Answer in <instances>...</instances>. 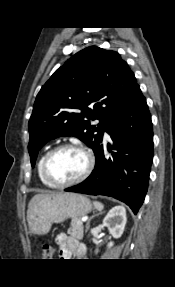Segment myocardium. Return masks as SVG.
Wrapping results in <instances>:
<instances>
[{"mask_svg":"<svg viewBox=\"0 0 175 287\" xmlns=\"http://www.w3.org/2000/svg\"><path fill=\"white\" fill-rule=\"evenodd\" d=\"M66 148H72V149H76L81 151L87 159V165L85 170L82 172L81 175H79L77 178L67 181V182H55L49 175V171H48V165L49 162L51 160V158L54 156L55 153H57L58 151L62 150V149H66ZM95 166V158L93 153L86 148L85 146H83L82 144L79 143H75V142H66V143H62L60 145L55 146L54 148H52L51 150L48 151V153L46 154L44 161H43V165H42V175L43 178L45 179V181L54 188H64V187H69L72 185H76L78 183L83 182L93 171Z\"/></svg>","mask_w":175,"mask_h":287,"instance_id":"obj_1","label":"myocardium"}]
</instances>
